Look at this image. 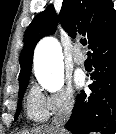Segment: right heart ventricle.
Here are the masks:
<instances>
[{"label": "right heart ventricle", "mask_w": 116, "mask_h": 134, "mask_svg": "<svg viewBox=\"0 0 116 134\" xmlns=\"http://www.w3.org/2000/svg\"><path fill=\"white\" fill-rule=\"evenodd\" d=\"M25 109L27 117L35 122L45 121L49 116L41 93L35 89L30 90L28 93Z\"/></svg>", "instance_id": "obj_1"}]
</instances>
